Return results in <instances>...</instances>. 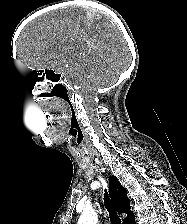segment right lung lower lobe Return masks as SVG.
<instances>
[{
	"instance_id": "98d812e1",
	"label": "right lung lower lobe",
	"mask_w": 187,
	"mask_h": 224,
	"mask_svg": "<svg viewBox=\"0 0 187 224\" xmlns=\"http://www.w3.org/2000/svg\"><path fill=\"white\" fill-rule=\"evenodd\" d=\"M128 224H135V217L133 219H131Z\"/></svg>"
}]
</instances>
